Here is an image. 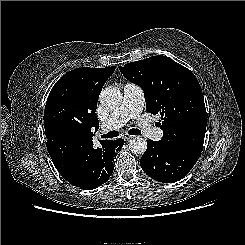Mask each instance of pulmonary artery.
<instances>
[{"instance_id": "e3ab8cb5", "label": "pulmonary artery", "mask_w": 245, "mask_h": 245, "mask_svg": "<svg viewBox=\"0 0 245 245\" xmlns=\"http://www.w3.org/2000/svg\"><path fill=\"white\" fill-rule=\"evenodd\" d=\"M144 105L143 90L133 83H126L123 88L121 105L115 109L101 125V131L115 130L122 127L128 120L139 117ZM146 138L161 140L162 130L146 123L142 126Z\"/></svg>"}]
</instances>
